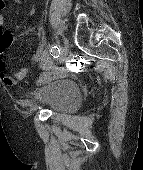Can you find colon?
I'll return each mask as SVG.
<instances>
[{
	"mask_svg": "<svg viewBox=\"0 0 143 170\" xmlns=\"http://www.w3.org/2000/svg\"><path fill=\"white\" fill-rule=\"evenodd\" d=\"M0 4H2V0H0ZM0 9H2V5H0Z\"/></svg>",
	"mask_w": 143,
	"mask_h": 170,
	"instance_id": "1",
	"label": "colon"
}]
</instances>
